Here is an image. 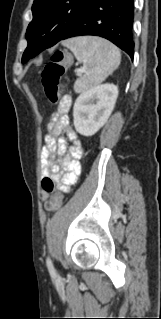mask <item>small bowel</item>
Here are the masks:
<instances>
[{
    "label": "small bowel",
    "mask_w": 161,
    "mask_h": 319,
    "mask_svg": "<svg viewBox=\"0 0 161 319\" xmlns=\"http://www.w3.org/2000/svg\"><path fill=\"white\" fill-rule=\"evenodd\" d=\"M65 104L69 110L71 105L70 97L65 96L60 106L50 114L48 133L44 137L45 144L42 149V159L44 166L43 177L53 179L59 190L67 193L70 186L78 181L81 174L79 158L82 155V146L81 141L76 137L69 125L68 111L65 112L63 109ZM68 140L71 142L70 147H67ZM57 149L62 156L67 153L70 155V159L63 166L53 162V156ZM43 199H47L45 193H43Z\"/></svg>",
    "instance_id": "1"
}]
</instances>
